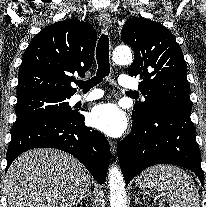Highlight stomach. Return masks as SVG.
Returning <instances> with one entry per match:
<instances>
[{
  "label": "stomach",
  "instance_id": "stomach-1",
  "mask_svg": "<svg viewBox=\"0 0 206 207\" xmlns=\"http://www.w3.org/2000/svg\"><path fill=\"white\" fill-rule=\"evenodd\" d=\"M136 185L140 188V190H145L146 185L144 184V181L142 179H137Z\"/></svg>",
  "mask_w": 206,
  "mask_h": 207
}]
</instances>
